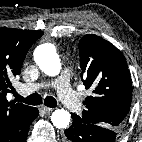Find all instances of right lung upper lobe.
Listing matches in <instances>:
<instances>
[{"mask_svg":"<svg viewBox=\"0 0 142 142\" xmlns=\"http://www.w3.org/2000/svg\"><path fill=\"white\" fill-rule=\"evenodd\" d=\"M42 31L0 28V142H12L30 120L33 107L9 102L10 79L20 74L23 61Z\"/></svg>","mask_w":142,"mask_h":142,"instance_id":"obj_1","label":"right lung upper lobe"}]
</instances>
